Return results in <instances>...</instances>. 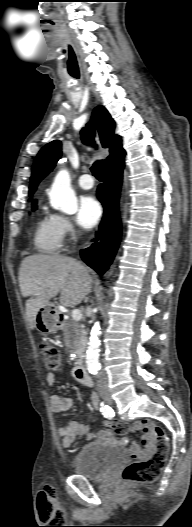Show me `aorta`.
<instances>
[{
  "mask_svg": "<svg viewBox=\"0 0 192 527\" xmlns=\"http://www.w3.org/2000/svg\"><path fill=\"white\" fill-rule=\"evenodd\" d=\"M51 205L67 214H75L78 209L77 198L71 188V179L68 170L62 169L55 176L50 193ZM101 328L96 322L91 330L86 354V366L91 374L100 370V339Z\"/></svg>",
  "mask_w": 192,
  "mask_h": 527,
  "instance_id": "aorta-1",
  "label": "aorta"
}]
</instances>
